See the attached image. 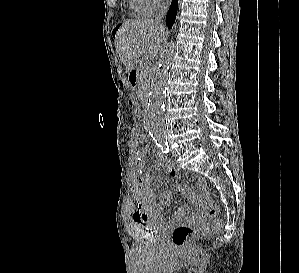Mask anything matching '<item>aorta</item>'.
<instances>
[{"label":"aorta","mask_w":299,"mask_h":273,"mask_svg":"<svg viewBox=\"0 0 299 273\" xmlns=\"http://www.w3.org/2000/svg\"><path fill=\"white\" fill-rule=\"evenodd\" d=\"M174 56V44L169 43L164 48L158 67L154 73L149 101L144 113L145 129L154 141L167 140L169 124L164 109L165 88L170 77V65Z\"/></svg>","instance_id":"762f6f07"}]
</instances>
